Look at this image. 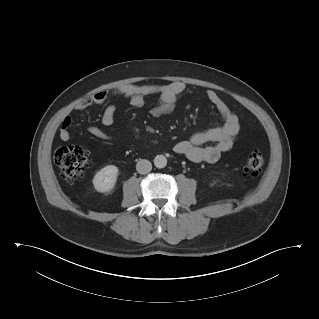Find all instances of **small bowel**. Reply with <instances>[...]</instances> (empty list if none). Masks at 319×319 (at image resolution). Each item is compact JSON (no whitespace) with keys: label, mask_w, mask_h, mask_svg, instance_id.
Listing matches in <instances>:
<instances>
[{"label":"small bowel","mask_w":319,"mask_h":319,"mask_svg":"<svg viewBox=\"0 0 319 319\" xmlns=\"http://www.w3.org/2000/svg\"><path fill=\"white\" fill-rule=\"evenodd\" d=\"M185 89L186 84L182 81H173L167 84H126L111 90L98 91L78 102L75 109L83 111L92 105H103L113 95H121L128 99L132 106L141 107L144 105L147 96L158 95L159 100L152 109V114L155 117H162L173 112L178 97ZM207 98L223 119L222 125L196 131L188 139L177 142L173 148L175 153L193 162H216L232 149L240 131L237 115L230 110L228 105L214 90L207 91ZM115 114L116 107L113 104L107 105L101 115V124L105 127L113 125ZM71 126V117H64L59 128V138L61 141L66 142L70 140ZM88 131L96 138L107 141L112 139L99 126H90ZM207 143L214 144L206 145Z\"/></svg>","instance_id":"obj_1"}]
</instances>
